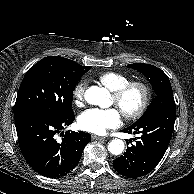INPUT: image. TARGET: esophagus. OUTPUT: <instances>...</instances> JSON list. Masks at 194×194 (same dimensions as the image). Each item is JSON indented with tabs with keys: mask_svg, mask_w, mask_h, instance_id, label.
I'll return each mask as SVG.
<instances>
[{
	"mask_svg": "<svg viewBox=\"0 0 194 194\" xmlns=\"http://www.w3.org/2000/svg\"><path fill=\"white\" fill-rule=\"evenodd\" d=\"M91 139L92 140H103V139H105V137H103V136H97V135L92 134L91 135Z\"/></svg>",
	"mask_w": 194,
	"mask_h": 194,
	"instance_id": "1",
	"label": "esophagus"
}]
</instances>
